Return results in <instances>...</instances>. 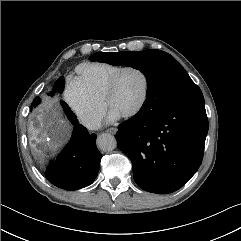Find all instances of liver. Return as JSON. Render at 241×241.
<instances>
[{"mask_svg":"<svg viewBox=\"0 0 241 241\" xmlns=\"http://www.w3.org/2000/svg\"><path fill=\"white\" fill-rule=\"evenodd\" d=\"M52 114H56L54 110H52ZM40 122L42 128L45 126L43 122V115L40 117ZM53 127L52 128V141H51V146L56 147L59 144L63 143L67 137L70 134L71 131V126L67 124L64 120L60 119L59 117H56L53 121H49L47 123L46 127ZM41 131V128H32L31 133H32V138L31 140H35L36 143H39L41 141V138H37L36 135ZM44 137L47 136V134H43ZM35 147V145H33ZM36 152H39V150L36 149Z\"/></svg>","mask_w":241,"mask_h":241,"instance_id":"liver-1","label":"liver"}]
</instances>
